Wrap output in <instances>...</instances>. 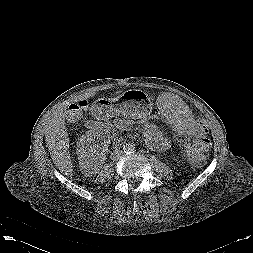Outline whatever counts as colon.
I'll list each match as a JSON object with an SVG mask.
<instances>
[{
  "instance_id": "1",
  "label": "colon",
  "mask_w": 253,
  "mask_h": 253,
  "mask_svg": "<svg viewBox=\"0 0 253 253\" xmlns=\"http://www.w3.org/2000/svg\"><path fill=\"white\" fill-rule=\"evenodd\" d=\"M87 108H88V101L86 99L78 100V101L72 103L68 107V110L66 112V116H67L68 120H70V121H77L82 117V115L84 114V112L86 111ZM200 122H201V124L203 126V130H204V134H203V138H202L201 142L206 146L207 151H208L210 148V141L206 136L207 126L203 121H200Z\"/></svg>"
}]
</instances>
